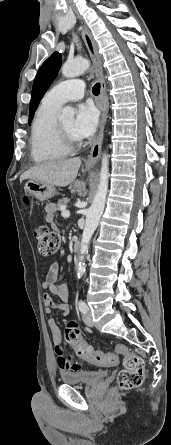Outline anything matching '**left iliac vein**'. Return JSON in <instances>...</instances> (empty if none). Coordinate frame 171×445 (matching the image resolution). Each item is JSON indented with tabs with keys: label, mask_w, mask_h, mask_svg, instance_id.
<instances>
[{
	"label": "left iliac vein",
	"mask_w": 171,
	"mask_h": 445,
	"mask_svg": "<svg viewBox=\"0 0 171 445\" xmlns=\"http://www.w3.org/2000/svg\"><path fill=\"white\" fill-rule=\"evenodd\" d=\"M83 322L89 326L92 327L93 326V321H92V315L90 310L88 309L86 313L83 314L82 316Z\"/></svg>",
	"instance_id": "left-iliac-vein-1"
}]
</instances>
